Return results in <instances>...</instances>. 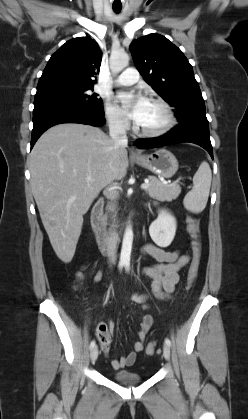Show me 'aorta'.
<instances>
[{"mask_svg": "<svg viewBox=\"0 0 248 419\" xmlns=\"http://www.w3.org/2000/svg\"><path fill=\"white\" fill-rule=\"evenodd\" d=\"M110 69L112 73L117 74L122 71L129 64V56L127 53H114L110 56ZM133 243V231L129 226L126 228L121 248L120 263L130 264V255Z\"/></svg>", "mask_w": 248, "mask_h": 419, "instance_id": "762f6f07", "label": "aorta"}]
</instances>
